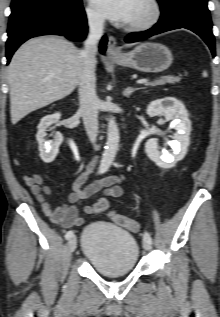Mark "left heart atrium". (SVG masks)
I'll list each match as a JSON object with an SVG mask.
<instances>
[{
	"instance_id": "obj_1",
	"label": "left heart atrium",
	"mask_w": 220,
	"mask_h": 317,
	"mask_svg": "<svg viewBox=\"0 0 220 317\" xmlns=\"http://www.w3.org/2000/svg\"><path fill=\"white\" fill-rule=\"evenodd\" d=\"M135 0H91L96 9L106 18L126 24Z\"/></svg>"
}]
</instances>
